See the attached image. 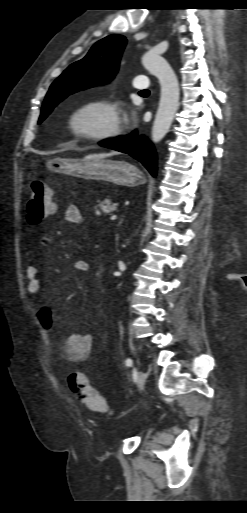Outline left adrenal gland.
Wrapping results in <instances>:
<instances>
[{"label": "left adrenal gland", "mask_w": 247, "mask_h": 513, "mask_svg": "<svg viewBox=\"0 0 247 513\" xmlns=\"http://www.w3.org/2000/svg\"><path fill=\"white\" fill-rule=\"evenodd\" d=\"M121 223H122V219H121V220H120V222H119V226L121 225Z\"/></svg>", "instance_id": "obj_1"}]
</instances>
